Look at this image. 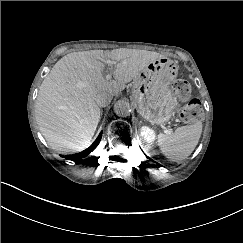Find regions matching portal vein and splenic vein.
I'll use <instances>...</instances> for the list:
<instances>
[{"label": "portal vein and splenic vein", "instance_id": "obj_1", "mask_svg": "<svg viewBox=\"0 0 243 243\" xmlns=\"http://www.w3.org/2000/svg\"><path fill=\"white\" fill-rule=\"evenodd\" d=\"M108 64L112 67V66H113V61H108ZM107 77L110 78L111 75H108ZM78 132H81V131L78 130ZM163 132H164L165 134H168V135H171V134H172V131L169 130V129H167V128H164V129H163Z\"/></svg>", "mask_w": 243, "mask_h": 243}]
</instances>
